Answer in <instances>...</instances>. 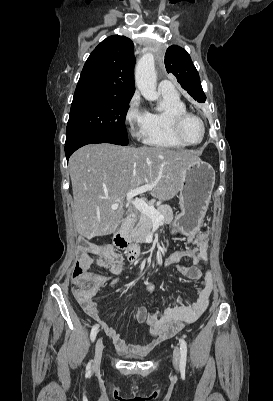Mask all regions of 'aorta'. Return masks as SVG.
Segmentation results:
<instances>
[{"label": "aorta", "instance_id": "1", "mask_svg": "<svg viewBox=\"0 0 273 401\" xmlns=\"http://www.w3.org/2000/svg\"><path fill=\"white\" fill-rule=\"evenodd\" d=\"M156 78L154 57L150 53L144 54L136 65L135 83L142 96L148 101L158 98Z\"/></svg>", "mask_w": 273, "mask_h": 401}]
</instances>
